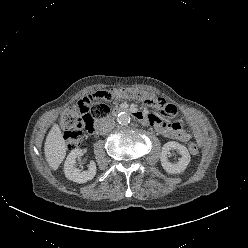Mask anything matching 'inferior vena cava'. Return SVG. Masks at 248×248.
<instances>
[{"instance_id":"602c4592","label":"inferior vena cava","mask_w":248,"mask_h":248,"mask_svg":"<svg viewBox=\"0 0 248 248\" xmlns=\"http://www.w3.org/2000/svg\"><path fill=\"white\" fill-rule=\"evenodd\" d=\"M115 126V121L113 119H107L100 124V133L106 134L111 131Z\"/></svg>"}]
</instances>
